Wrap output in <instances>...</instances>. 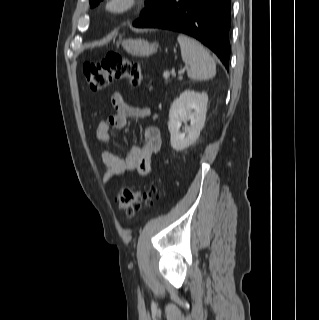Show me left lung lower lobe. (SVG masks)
<instances>
[{"instance_id": "left-lung-lower-lobe-1", "label": "left lung lower lobe", "mask_w": 319, "mask_h": 320, "mask_svg": "<svg viewBox=\"0 0 319 320\" xmlns=\"http://www.w3.org/2000/svg\"><path fill=\"white\" fill-rule=\"evenodd\" d=\"M133 26L163 28L193 36L228 69L231 0H161Z\"/></svg>"}]
</instances>
